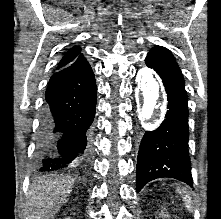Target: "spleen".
I'll return each instance as SVG.
<instances>
[{
  "instance_id": "obj_1",
  "label": "spleen",
  "mask_w": 221,
  "mask_h": 219,
  "mask_svg": "<svg viewBox=\"0 0 221 219\" xmlns=\"http://www.w3.org/2000/svg\"><path fill=\"white\" fill-rule=\"evenodd\" d=\"M184 199H185V201H186V207H187V209H188L189 211H191V210H192V207H191V205H190V203H191L190 197L186 195Z\"/></svg>"
}]
</instances>
